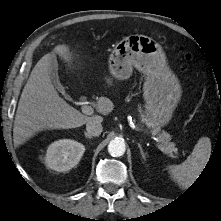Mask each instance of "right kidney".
Segmentation results:
<instances>
[{
    "label": "right kidney",
    "instance_id": "1",
    "mask_svg": "<svg viewBox=\"0 0 221 221\" xmlns=\"http://www.w3.org/2000/svg\"><path fill=\"white\" fill-rule=\"evenodd\" d=\"M84 152L83 144L70 139H61L49 145L45 163L57 172H64L75 167Z\"/></svg>",
    "mask_w": 221,
    "mask_h": 221
}]
</instances>
